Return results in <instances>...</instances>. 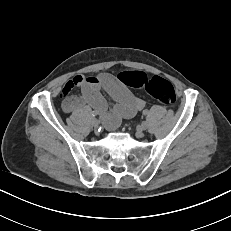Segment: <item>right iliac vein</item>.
<instances>
[{
  "label": "right iliac vein",
  "mask_w": 231,
  "mask_h": 231,
  "mask_svg": "<svg viewBox=\"0 0 231 231\" xmlns=\"http://www.w3.org/2000/svg\"><path fill=\"white\" fill-rule=\"evenodd\" d=\"M92 125H93L94 128H98V126H99L98 120L97 119H93L92 120Z\"/></svg>",
  "instance_id": "63e3f726"
}]
</instances>
